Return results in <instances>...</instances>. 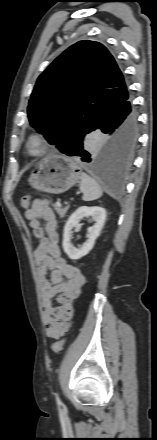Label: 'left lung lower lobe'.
<instances>
[{
	"label": "left lung lower lobe",
	"instance_id": "0a47b994",
	"mask_svg": "<svg viewBox=\"0 0 157 440\" xmlns=\"http://www.w3.org/2000/svg\"><path fill=\"white\" fill-rule=\"evenodd\" d=\"M92 131L105 135V141L98 151L92 153L86 140L82 139L66 150L65 154L78 157L93 172L121 178L131 165V154L138 132L137 113L130 95L107 109L96 121Z\"/></svg>",
	"mask_w": 157,
	"mask_h": 440
}]
</instances>
